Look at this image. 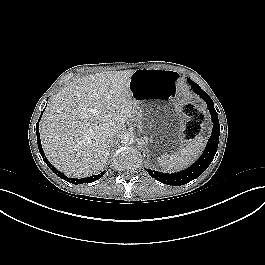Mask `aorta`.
<instances>
[{"instance_id": "obj_1", "label": "aorta", "mask_w": 265, "mask_h": 265, "mask_svg": "<svg viewBox=\"0 0 265 265\" xmlns=\"http://www.w3.org/2000/svg\"><path fill=\"white\" fill-rule=\"evenodd\" d=\"M121 143L124 145H130L135 141V136L132 132H125L120 137Z\"/></svg>"}]
</instances>
